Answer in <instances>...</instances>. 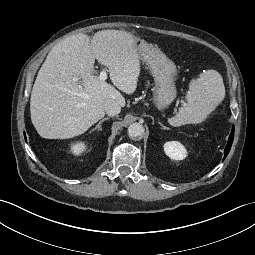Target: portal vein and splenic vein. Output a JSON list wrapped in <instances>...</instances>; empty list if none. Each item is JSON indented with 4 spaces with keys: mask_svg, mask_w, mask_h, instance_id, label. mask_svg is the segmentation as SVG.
Wrapping results in <instances>:
<instances>
[{
    "mask_svg": "<svg viewBox=\"0 0 255 255\" xmlns=\"http://www.w3.org/2000/svg\"><path fill=\"white\" fill-rule=\"evenodd\" d=\"M106 79H107V70H106V69H103V70L100 72L99 80H100V81H105Z\"/></svg>",
    "mask_w": 255,
    "mask_h": 255,
    "instance_id": "portal-vein-and-splenic-vein-1",
    "label": "portal vein and splenic vein"
}]
</instances>
